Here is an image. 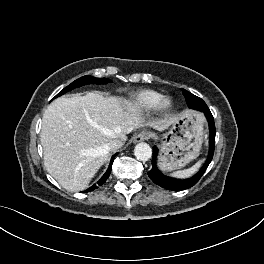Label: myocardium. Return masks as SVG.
Here are the masks:
<instances>
[{
    "instance_id": "myocardium-1",
    "label": "myocardium",
    "mask_w": 264,
    "mask_h": 264,
    "mask_svg": "<svg viewBox=\"0 0 264 264\" xmlns=\"http://www.w3.org/2000/svg\"><path fill=\"white\" fill-rule=\"evenodd\" d=\"M172 108V101L169 97H162L155 109L160 113H166Z\"/></svg>"
}]
</instances>
